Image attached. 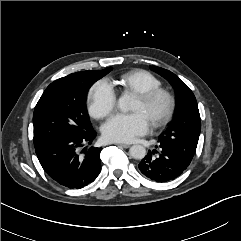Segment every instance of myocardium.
Segmentation results:
<instances>
[{
	"label": "myocardium",
	"instance_id": "f54148a6",
	"mask_svg": "<svg viewBox=\"0 0 241 241\" xmlns=\"http://www.w3.org/2000/svg\"><path fill=\"white\" fill-rule=\"evenodd\" d=\"M136 97L139 98L147 106L153 105L160 99L165 100L166 108L164 113L152 121V125L155 128L164 127L171 121L176 108V100L170 91L160 87L136 94Z\"/></svg>",
	"mask_w": 241,
	"mask_h": 241
}]
</instances>
